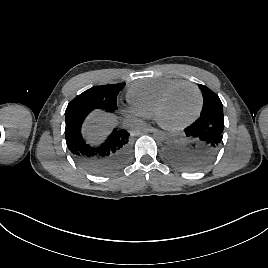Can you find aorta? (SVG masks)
Listing matches in <instances>:
<instances>
[{"label":"aorta","mask_w":268,"mask_h":268,"mask_svg":"<svg viewBox=\"0 0 268 268\" xmlns=\"http://www.w3.org/2000/svg\"><path fill=\"white\" fill-rule=\"evenodd\" d=\"M166 137H167V134L163 131H156L154 133V138L158 141L164 140L166 139Z\"/></svg>","instance_id":"aorta-1"}]
</instances>
